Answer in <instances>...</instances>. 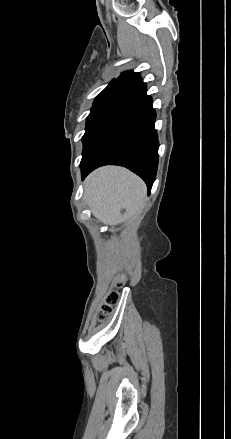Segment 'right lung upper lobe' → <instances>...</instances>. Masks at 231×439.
<instances>
[{
	"instance_id": "obj_1",
	"label": "right lung upper lobe",
	"mask_w": 231,
	"mask_h": 439,
	"mask_svg": "<svg viewBox=\"0 0 231 439\" xmlns=\"http://www.w3.org/2000/svg\"><path fill=\"white\" fill-rule=\"evenodd\" d=\"M146 91L139 73L123 72L117 80H113L95 99L102 100L117 97H136Z\"/></svg>"
}]
</instances>
